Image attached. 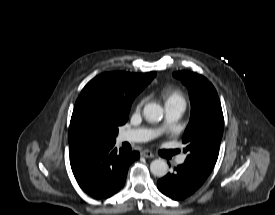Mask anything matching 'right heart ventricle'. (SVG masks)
Wrapping results in <instances>:
<instances>
[{
  "label": "right heart ventricle",
  "mask_w": 275,
  "mask_h": 215,
  "mask_svg": "<svg viewBox=\"0 0 275 215\" xmlns=\"http://www.w3.org/2000/svg\"><path fill=\"white\" fill-rule=\"evenodd\" d=\"M162 97L165 101V106L173 103H184L185 100L182 93L177 89H167L162 93Z\"/></svg>",
  "instance_id": "e07e8e85"
}]
</instances>
